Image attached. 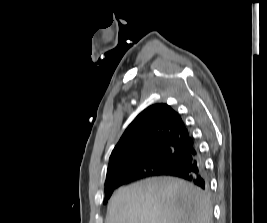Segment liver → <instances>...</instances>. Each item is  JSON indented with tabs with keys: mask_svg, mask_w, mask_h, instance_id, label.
I'll use <instances>...</instances> for the list:
<instances>
[{
	"mask_svg": "<svg viewBox=\"0 0 267 223\" xmlns=\"http://www.w3.org/2000/svg\"><path fill=\"white\" fill-rule=\"evenodd\" d=\"M209 197L180 179L156 177L119 188L105 223H212Z\"/></svg>",
	"mask_w": 267,
	"mask_h": 223,
	"instance_id": "6515ba94",
	"label": "liver"
}]
</instances>
